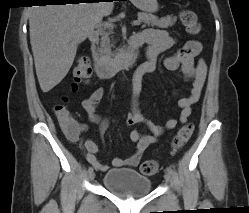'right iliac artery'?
Here are the masks:
<instances>
[{
  "label": "right iliac artery",
  "instance_id": "82829eb1",
  "mask_svg": "<svg viewBox=\"0 0 249 213\" xmlns=\"http://www.w3.org/2000/svg\"><path fill=\"white\" fill-rule=\"evenodd\" d=\"M91 172H93V168H92V167H89V168H88V173H91Z\"/></svg>",
  "mask_w": 249,
  "mask_h": 213
}]
</instances>
